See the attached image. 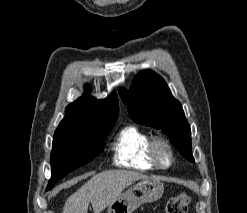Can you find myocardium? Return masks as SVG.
Listing matches in <instances>:
<instances>
[{
	"label": "myocardium",
	"mask_w": 247,
	"mask_h": 213,
	"mask_svg": "<svg viewBox=\"0 0 247 213\" xmlns=\"http://www.w3.org/2000/svg\"><path fill=\"white\" fill-rule=\"evenodd\" d=\"M162 152L168 156V160L162 159ZM149 154L154 164L160 169L170 168L175 160L172 144L163 137H154L149 144Z\"/></svg>",
	"instance_id": "myocardium-1"
}]
</instances>
